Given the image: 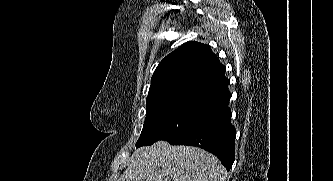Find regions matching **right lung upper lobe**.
<instances>
[{
	"label": "right lung upper lobe",
	"mask_w": 333,
	"mask_h": 181,
	"mask_svg": "<svg viewBox=\"0 0 333 181\" xmlns=\"http://www.w3.org/2000/svg\"><path fill=\"white\" fill-rule=\"evenodd\" d=\"M225 67L206 44L190 41L168 54L157 66L146 109L191 106L208 110L231 98Z\"/></svg>",
	"instance_id": "cb5924a9"
}]
</instances>
